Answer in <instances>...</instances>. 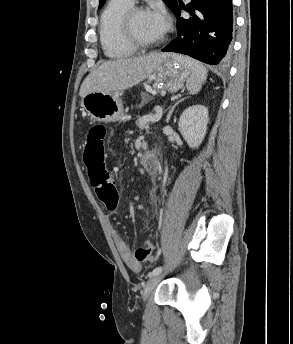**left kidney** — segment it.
<instances>
[{
    "instance_id": "left-kidney-1",
    "label": "left kidney",
    "mask_w": 293,
    "mask_h": 344,
    "mask_svg": "<svg viewBox=\"0 0 293 344\" xmlns=\"http://www.w3.org/2000/svg\"><path fill=\"white\" fill-rule=\"evenodd\" d=\"M208 121V108L203 105H193L184 110L178 127L190 148H198L202 143L207 132Z\"/></svg>"
}]
</instances>
